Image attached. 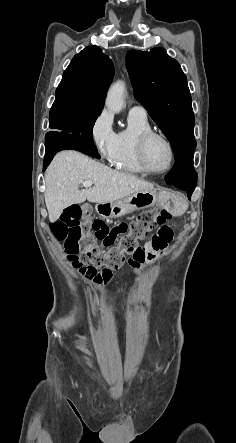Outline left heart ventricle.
Instances as JSON below:
<instances>
[{
  "label": "left heart ventricle",
  "instance_id": "1",
  "mask_svg": "<svg viewBox=\"0 0 236 443\" xmlns=\"http://www.w3.org/2000/svg\"><path fill=\"white\" fill-rule=\"evenodd\" d=\"M146 155L149 166L156 171L165 169L170 162L168 145L158 137L150 140Z\"/></svg>",
  "mask_w": 236,
  "mask_h": 443
}]
</instances>
